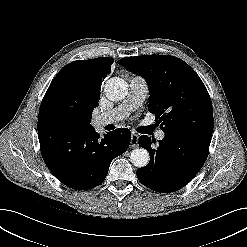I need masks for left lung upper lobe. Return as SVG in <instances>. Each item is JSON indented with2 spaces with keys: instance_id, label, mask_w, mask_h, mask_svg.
<instances>
[{
  "instance_id": "5c2ea615",
  "label": "left lung upper lobe",
  "mask_w": 247,
  "mask_h": 247,
  "mask_svg": "<svg viewBox=\"0 0 247 247\" xmlns=\"http://www.w3.org/2000/svg\"><path fill=\"white\" fill-rule=\"evenodd\" d=\"M119 64L148 83L149 112L165 134L211 140L213 110L208 91L183 60L169 55L125 57Z\"/></svg>"
}]
</instances>
